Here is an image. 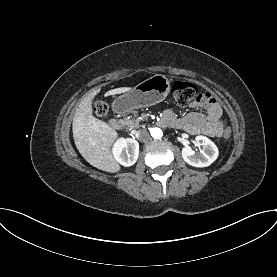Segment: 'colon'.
Listing matches in <instances>:
<instances>
[{"label": "colon", "instance_id": "obj_1", "mask_svg": "<svg viewBox=\"0 0 277 277\" xmlns=\"http://www.w3.org/2000/svg\"><path fill=\"white\" fill-rule=\"evenodd\" d=\"M171 92L174 100L179 105H187L195 101L200 100L201 94L198 92L197 87L186 81H175L172 84ZM108 112L107 105L102 101H97L94 104V113L98 117H104ZM223 138L225 140H230L232 138V130L230 128H225L223 130Z\"/></svg>", "mask_w": 277, "mask_h": 277}]
</instances>
